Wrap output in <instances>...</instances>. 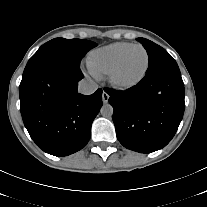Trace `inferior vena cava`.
Returning a JSON list of instances; mask_svg holds the SVG:
<instances>
[{"instance_id":"obj_1","label":"inferior vena cava","mask_w":207,"mask_h":207,"mask_svg":"<svg viewBox=\"0 0 207 207\" xmlns=\"http://www.w3.org/2000/svg\"><path fill=\"white\" fill-rule=\"evenodd\" d=\"M98 89V84L91 78L82 79L78 84V91L84 95L93 94Z\"/></svg>"}]
</instances>
